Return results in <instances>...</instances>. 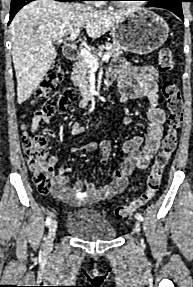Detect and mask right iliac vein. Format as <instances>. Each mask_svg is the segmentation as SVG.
<instances>
[{
    "instance_id": "1",
    "label": "right iliac vein",
    "mask_w": 193,
    "mask_h": 287,
    "mask_svg": "<svg viewBox=\"0 0 193 287\" xmlns=\"http://www.w3.org/2000/svg\"><path fill=\"white\" fill-rule=\"evenodd\" d=\"M56 232H57V221L54 219L51 221V223L49 225V232H48L47 239L45 241V246L47 248H50L52 246L53 241H54L55 236H56Z\"/></svg>"
}]
</instances>
